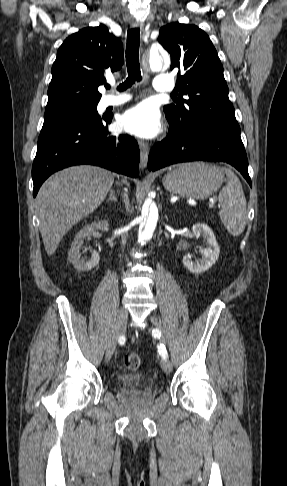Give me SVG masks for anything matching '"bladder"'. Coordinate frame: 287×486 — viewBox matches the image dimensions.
<instances>
[{
    "label": "bladder",
    "instance_id": "1",
    "mask_svg": "<svg viewBox=\"0 0 287 486\" xmlns=\"http://www.w3.org/2000/svg\"><path fill=\"white\" fill-rule=\"evenodd\" d=\"M120 387L148 386L150 380L142 374H123L118 377Z\"/></svg>",
    "mask_w": 287,
    "mask_h": 486
}]
</instances>
